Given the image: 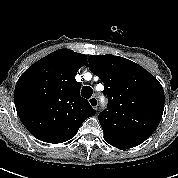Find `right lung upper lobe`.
Masks as SVG:
<instances>
[{"instance_id": "cb5924a9", "label": "right lung upper lobe", "mask_w": 178, "mask_h": 178, "mask_svg": "<svg viewBox=\"0 0 178 178\" xmlns=\"http://www.w3.org/2000/svg\"><path fill=\"white\" fill-rule=\"evenodd\" d=\"M87 56L69 49L57 50L30 66L14 92L17 114L37 139L62 143L74 137L85 119L96 111L80 96L77 71Z\"/></svg>"}]
</instances>
